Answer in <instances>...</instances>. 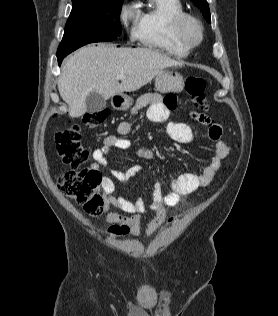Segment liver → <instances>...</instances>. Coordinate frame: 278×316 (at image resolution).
Listing matches in <instances>:
<instances>
[{
	"label": "liver",
	"mask_w": 278,
	"mask_h": 316,
	"mask_svg": "<svg viewBox=\"0 0 278 316\" xmlns=\"http://www.w3.org/2000/svg\"><path fill=\"white\" fill-rule=\"evenodd\" d=\"M179 65L180 62L153 49L89 45L65 61L58 90L69 106V115L80 117L87 112L89 93L97 92L106 100L133 92L151 82L163 69ZM118 75L126 78L119 83Z\"/></svg>",
	"instance_id": "6515ba94"
}]
</instances>
